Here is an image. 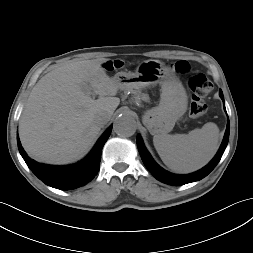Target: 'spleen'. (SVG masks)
<instances>
[{"label":"spleen","mask_w":253,"mask_h":253,"mask_svg":"<svg viewBox=\"0 0 253 253\" xmlns=\"http://www.w3.org/2000/svg\"><path fill=\"white\" fill-rule=\"evenodd\" d=\"M154 146L170 169L190 173L206 165L219 146V129L208 122L201 129L188 134H160L153 138Z\"/></svg>","instance_id":"obj_1"}]
</instances>
